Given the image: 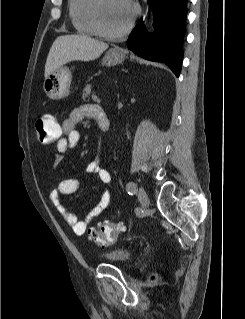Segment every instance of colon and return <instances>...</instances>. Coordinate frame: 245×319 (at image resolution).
<instances>
[{"label":"colon","instance_id":"colon-1","mask_svg":"<svg viewBox=\"0 0 245 319\" xmlns=\"http://www.w3.org/2000/svg\"><path fill=\"white\" fill-rule=\"evenodd\" d=\"M36 136L42 144H53L61 134L62 127L59 121L50 114L40 116L35 124ZM123 232V227L118 224L101 221L95 228L89 229V237L101 246L114 243Z\"/></svg>","mask_w":245,"mask_h":319}]
</instances>
